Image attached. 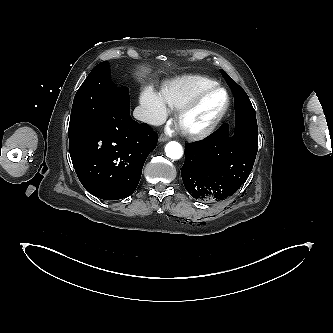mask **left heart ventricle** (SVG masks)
<instances>
[{
    "label": "left heart ventricle",
    "instance_id": "left-heart-ventricle-1",
    "mask_svg": "<svg viewBox=\"0 0 333 333\" xmlns=\"http://www.w3.org/2000/svg\"><path fill=\"white\" fill-rule=\"evenodd\" d=\"M225 94L216 91L205 97L202 102L190 113L186 124L191 127H200L208 123L223 107Z\"/></svg>",
    "mask_w": 333,
    "mask_h": 333
}]
</instances>
